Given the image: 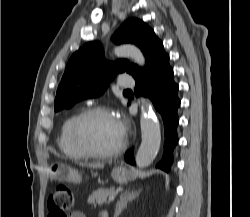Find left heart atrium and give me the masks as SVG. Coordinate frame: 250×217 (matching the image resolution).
<instances>
[{
	"label": "left heart atrium",
	"instance_id": "left-heart-atrium-1",
	"mask_svg": "<svg viewBox=\"0 0 250 217\" xmlns=\"http://www.w3.org/2000/svg\"><path fill=\"white\" fill-rule=\"evenodd\" d=\"M117 121H118V125H119V127H120L122 133H124V131H125L124 124H123L122 121H120V120H117Z\"/></svg>",
	"mask_w": 250,
	"mask_h": 217
}]
</instances>
